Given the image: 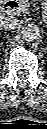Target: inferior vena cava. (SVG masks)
I'll list each match as a JSON object with an SVG mask.
<instances>
[{"label": "inferior vena cava", "instance_id": "602c4592", "mask_svg": "<svg viewBox=\"0 0 47 129\" xmlns=\"http://www.w3.org/2000/svg\"><path fill=\"white\" fill-rule=\"evenodd\" d=\"M19 20L13 16H4L0 20L1 28L5 30H12L18 26Z\"/></svg>", "mask_w": 47, "mask_h": 129}]
</instances>
